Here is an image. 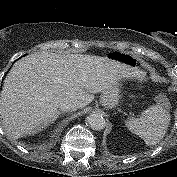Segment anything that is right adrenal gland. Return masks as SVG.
<instances>
[{
  "label": "right adrenal gland",
  "instance_id": "1",
  "mask_svg": "<svg viewBox=\"0 0 177 177\" xmlns=\"http://www.w3.org/2000/svg\"><path fill=\"white\" fill-rule=\"evenodd\" d=\"M61 114H63V113H62V112H58L57 115H56V117H55V120H56V119L59 117V115H61ZM53 122H54V121H53ZM53 122H52V123H53Z\"/></svg>",
  "mask_w": 177,
  "mask_h": 177
}]
</instances>
